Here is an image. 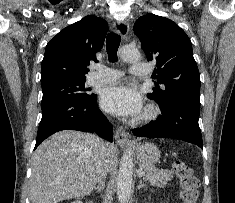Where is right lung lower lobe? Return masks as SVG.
I'll return each mask as SVG.
<instances>
[{"instance_id": "right-lung-lower-lobe-1", "label": "right lung lower lobe", "mask_w": 235, "mask_h": 203, "mask_svg": "<svg viewBox=\"0 0 235 203\" xmlns=\"http://www.w3.org/2000/svg\"><path fill=\"white\" fill-rule=\"evenodd\" d=\"M96 132L101 138L113 141L112 125L98 109L97 95L88 99H63L42 107L35 148L47 137L61 130Z\"/></svg>"}]
</instances>
